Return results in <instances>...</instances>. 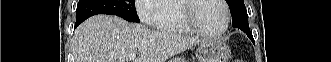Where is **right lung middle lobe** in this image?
I'll return each instance as SVG.
<instances>
[{
	"instance_id": "right-lung-middle-lobe-1",
	"label": "right lung middle lobe",
	"mask_w": 331,
	"mask_h": 62,
	"mask_svg": "<svg viewBox=\"0 0 331 62\" xmlns=\"http://www.w3.org/2000/svg\"><path fill=\"white\" fill-rule=\"evenodd\" d=\"M96 14L117 15L130 22H140L135 0H79L76 10L77 24Z\"/></svg>"
}]
</instances>
